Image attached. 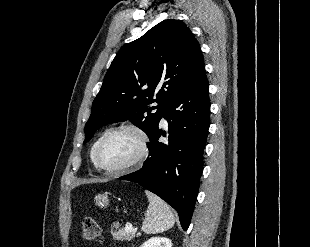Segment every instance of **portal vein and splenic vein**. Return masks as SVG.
<instances>
[{"mask_svg":"<svg viewBox=\"0 0 310 247\" xmlns=\"http://www.w3.org/2000/svg\"><path fill=\"white\" fill-rule=\"evenodd\" d=\"M125 229H126L127 231H134V232H135V230H134L132 224H126V225H125Z\"/></svg>","mask_w":310,"mask_h":247,"instance_id":"18ae733b","label":"portal vein and splenic vein"}]
</instances>
